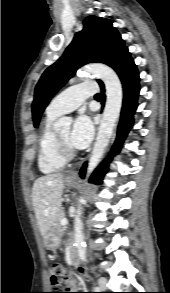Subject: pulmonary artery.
I'll return each instance as SVG.
<instances>
[{"label": "pulmonary artery", "instance_id": "1", "mask_svg": "<svg viewBox=\"0 0 170 293\" xmlns=\"http://www.w3.org/2000/svg\"><path fill=\"white\" fill-rule=\"evenodd\" d=\"M97 92L94 83H81L68 87L58 95L48 105L46 112L51 115H62L78 108L84 100Z\"/></svg>", "mask_w": 170, "mask_h": 293}]
</instances>
